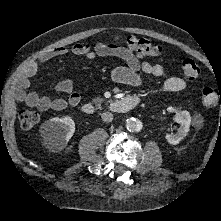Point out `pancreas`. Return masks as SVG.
Returning <instances> with one entry per match:
<instances>
[{
	"instance_id": "obj_1",
	"label": "pancreas",
	"mask_w": 221,
	"mask_h": 221,
	"mask_svg": "<svg viewBox=\"0 0 221 221\" xmlns=\"http://www.w3.org/2000/svg\"><path fill=\"white\" fill-rule=\"evenodd\" d=\"M105 99L104 98H101V97H95L93 99V103L96 105V106H100L102 104V102H104Z\"/></svg>"
}]
</instances>
